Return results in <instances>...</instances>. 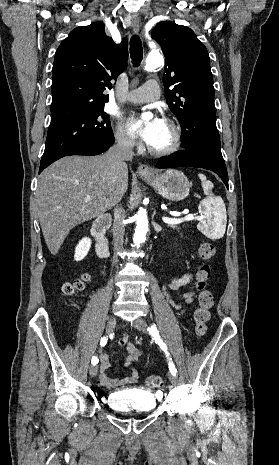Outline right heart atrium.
Here are the masks:
<instances>
[{"label":"right heart atrium","mask_w":279,"mask_h":465,"mask_svg":"<svg viewBox=\"0 0 279 465\" xmlns=\"http://www.w3.org/2000/svg\"><path fill=\"white\" fill-rule=\"evenodd\" d=\"M115 139L117 144L125 150H132L137 145L135 139L122 125H118L116 128Z\"/></svg>","instance_id":"right-heart-atrium-1"}]
</instances>
